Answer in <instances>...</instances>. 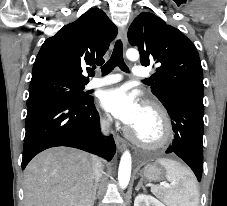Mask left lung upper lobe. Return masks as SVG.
I'll use <instances>...</instances> for the list:
<instances>
[{"label":"left lung upper lobe","instance_id":"1","mask_svg":"<svg viewBox=\"0 0 227 206\" xmlns=\"http://www.w3.org/2000/svg\"><path fill=\"white\" fill-rule=\"evenodd\" d=\"M131 45L137 46L143 66L156 65L152 93L166 104L176 97L203 99V72L193 43L161 18L143 12L128 30Z\"/></svg>","mask_w":227,"mask_h":206}]
</instances>
